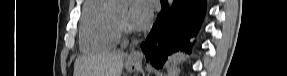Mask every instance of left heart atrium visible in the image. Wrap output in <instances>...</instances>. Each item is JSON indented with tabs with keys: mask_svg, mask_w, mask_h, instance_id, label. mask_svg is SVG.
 Listing matches in <instances>:
<instances>
[{
	"mask_svg": "<svg viewBox=\"0 0 287 76\" xmlns=\"http://www.w3.org/2000/svg\"><path fill=\"white\" fill-rule=\"evenodd\" d=\"M152 16V3L148 0H134L128 12V22L134 29L144 28Z\"/></svg>",
	"mask_w": 287,
	"mask_h": 76,
	"instance_id": "obj_1",
	"label": "left heart atrium"
}]
</instances>
